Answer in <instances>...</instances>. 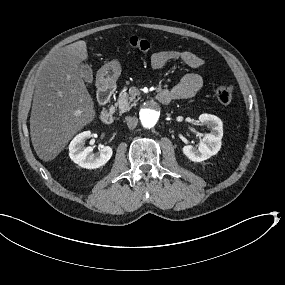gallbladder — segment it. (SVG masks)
Masks as SVG:
<instances>
[{
    "label": "gallbladder",
    "mask_w": 285,
    "mask_h": 285,
    "mask_svg": "<svg viewBox=\"0 0 285 285\" xmlns=\"http://www.w3.org/2000/svg\"><path fill=\"white\" fill-rule=\"evenodd\" d=\"M81 69V76L86 82H92L93 81V71L91 67L88 64H82L80 65Z\"/></svg>",
    "instance_id": "1"
}]
</instances>
